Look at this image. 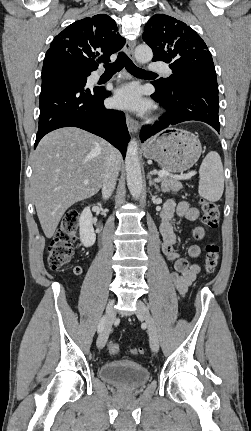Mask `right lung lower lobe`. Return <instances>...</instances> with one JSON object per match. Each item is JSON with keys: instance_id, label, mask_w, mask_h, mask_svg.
Here are the masks:
<instances>
[{"instance_id": "1", "label": "right lung lower lobe", "mask_w": 251, "mask_h": 431, "mask_svg": "<svg viewBox=\"0 0 251 431\" xmlns=\"http://www.w3.org/2000/svg\"><path fill=\"white\" fill-rule=\"evenodd\" d=\"M110 94L105 88H87L86 82L67 72L42 74L39 129L34 149L47 133L71 126L106 139L125 157L130 136L124 113L107 109L103 104Z\"/></svg>"}]
</instances>
